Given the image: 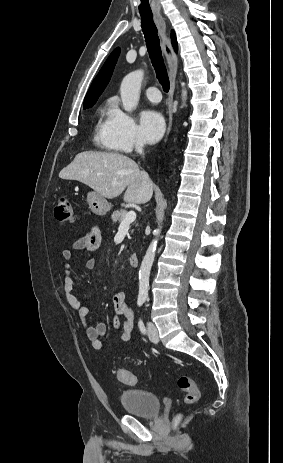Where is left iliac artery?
I'll list each match as a JSON object with an SVG mask.
<instances>
[{"label": "left iliac artery", "instance_id": "left-iliac-artery-1", "mask_svg": "<svg viewBox=\"0 0 283 463\" xmlns=\"http://www.w3.org/2000/svg\"><path fill=\"white\" fill-rule=\"evenodd\" d=\"M138 325H139L140 331L142 333H145V326H144V323H143V321L141 319L139 320Z\"/></svg>", "mask_w": 283, "mask_h": 463}]
</instances>
